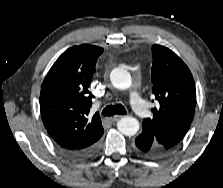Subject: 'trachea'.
Masks as SVG:
<instances>
[{
	"label": "trachea",
	"instance_id": "obj_1",
	"mask_svg": "<svg viewBox=\"0 0 223 188\" xmlns=\"http://www.w3.org/2000/svg\"><path fill=\"white\" fill-rule=\"evenodd\" d=\"M126 113L125 107L121 104L106 106L102 111V115L104 116H112L115 114L125 115Z\"/></svg>",
	"mask_w": 223,
	"mask_h": 188
}]
</instances>
